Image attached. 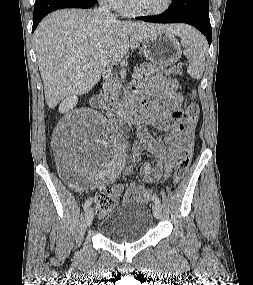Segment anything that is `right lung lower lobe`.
I'll list each match as a JSON object with an SVG mask.
<instances>
[{
    "label": "right lung lower lobe",
    "instance_id": "1",
    "mask_svg": "<svg viewBox=\"0 0 253 285\" xmlns=\"http://www.w3.org/2000/svg\"><path fill=\"white\" fill-rule=\"evenodd\" d=\"M96 0H36L34 5L32 33L39 22L50 12L61 8H90Z\"/></svg>",
    "mask_w": 253,
    "mask_h": 285
}]
</instances>
